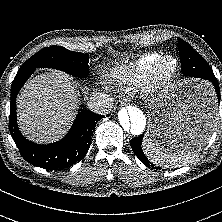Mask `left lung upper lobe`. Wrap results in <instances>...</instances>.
I'll list each match as a JSON object with an SVG mask.
<instances>
[{"instance_id": "left-lung-upper-lobe-1", "label": "left lung upper lobe", "mask_w": 222, "mask_h": 222, "mask_svg": "<svg viewBox=\"0 0 222 222\" xmlns=\"http://www.w3.org/2000/svg\"><path fill=\"white\" fill-rule=\"evenodd\" d=\"M178 49L180 56H193L200 64H202L208 71H212L209 64L184 40L178 39Z\"/></svg>"}]
</instances>
